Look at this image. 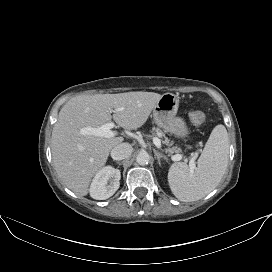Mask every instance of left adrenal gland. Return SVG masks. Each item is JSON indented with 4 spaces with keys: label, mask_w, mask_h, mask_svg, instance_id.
<instances>
[{
    "label": "left adrenal gland",
    "mask_w": 272,
    "mask_h": 272,
    "mask_svg": "<svg viewBox=\"0 0 272 272\" xmlns=\"http://www.w3.org/2000/svg\"><path fill=\"white\" fill-rule=\"evenodd\" d=\"M154 154H155V156L157 158V162H158L159 165L161 164L160 163L161 158H163L164 160H167V157L165 155L161 154L160 152H158L156 150H154Z\"/></svg>",
    "instance_id": "1"
}]
</instances>
